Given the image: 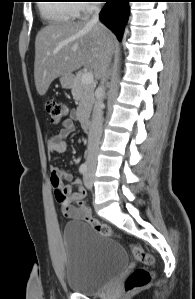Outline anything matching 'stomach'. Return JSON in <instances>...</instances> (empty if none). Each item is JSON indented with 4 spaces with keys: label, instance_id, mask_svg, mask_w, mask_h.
I'll use <instances>...</instances> for the list:
<instances>
[{
    "label": "stomach",
    "instance_id": "1",
    "mask_svg": "<svg viewBox=\"0 0 195 299\" xmlns=\"http://www.w3.org/2000/svg\"><path fill=\"white\" fill-rule=\"evenodd\" d=\"M60 83H61L62 87L65 88V89L72 88L73 83H74L73 75L72 74L62 75L60 77Z\"/></svg>",
    "mask_w": 195,
    "mask_h": 299
}]
</instances>
